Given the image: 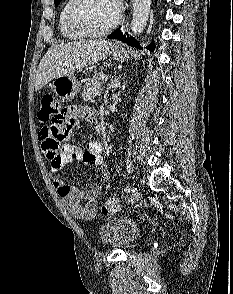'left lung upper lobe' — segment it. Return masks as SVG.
<instances>
[{
	"mask_svg": "<svg viewBox=\"0 0 233 294\" xmlns=\"http://www.w3.org/2000/svg\"><path fill=\"white\" fill-rule=\"evenodd\" d=\"M61 0H54V3L56 4V3H59Z\"/></svg>",
	"mask_w": 233,
	"mask_h": 294,
	"instance_id": "left-lung-upper-lobe-1",
	"label": "left lung upper lobe"
}]
</instances>
